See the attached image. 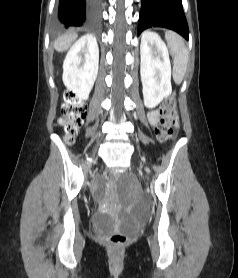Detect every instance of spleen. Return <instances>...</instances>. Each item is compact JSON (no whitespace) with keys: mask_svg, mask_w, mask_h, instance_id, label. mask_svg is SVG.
<instances>
[{"mask_svg":"<svg viewBox=\"0 0 238 278\" xmlns=\"http://www.w3.org/2000/svg\"><path fill=\"white\" fill-rule=\"evenodd\" d=\"M165 38L173 56V78L177 84H180L184 78L187 64L188 51L184 45V41L180 35L175 32L167 31Z\"/></svg>","mask_w":238,"mask_h":278,"instance_id":"3e777b00","label":"spleen"}]
</instances>
